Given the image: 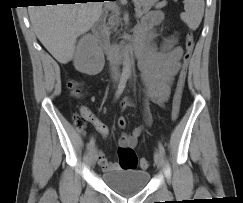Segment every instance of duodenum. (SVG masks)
<instances>
[{"mask_svg": "<svg viewBox=\"0 0 243 203\" xmlns=\"http://www.w3.org/2000/svg\"><path fill=\"white\" fill-rule=\"evenodd\" d=\"M104 21L105 16L102 15L92 25V33L98 43V45L105 51L111 60H118L119 53L114 46L106 43L104 34ZM145 50L144 43L137 37L132 41L129 46H125L122 49L123 58H141Z\"/></svg>", "mask_w": 243, "mask_h": 203, "instance_id": "duodenum-1", "label": "duodenum"}]
</instances>
